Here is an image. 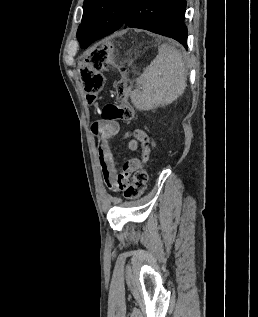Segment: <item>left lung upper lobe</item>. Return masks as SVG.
Listing matches in <instances>:
<instances>
[{"mask_svg": "<svg viewBox=\"0 0 258 317\" xmlns=\"http://www.w3.org/2000/svg\"><path fill=\"white\" fill-rule=\"evenodd\" d=\"M132 0H84L82 23L77 31L80 41L98 27L119 28L122 26Z\"/></svg>", "mask_w": 258, "mask_h": 317, "instance_id": "obj_1", "label": "left lung upper lobe"}]
</instances>
